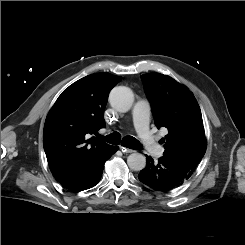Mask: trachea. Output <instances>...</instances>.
I'll use <instances>...</instances> for the list:
<instances>
[{
    "mask_svg": "<svg viewBox=\"0 0 245 245\" xmlns=\"http://www.w3.org/2000/svg\"><path fill=\"white\" fill-rule=\"evenodd\" d=\"M103 140L113 145H119L121 142L120 134L118 132H114L112 134L105 136ZM121 144L127 148L135 149V150L142 148L139 141L132 136L124 137L122 139Z\"/></svg>",
    "mask_w": 245,
    "mask_h": 245,
    "instance_id": "3493384b",
    "label": "trachea"
}]
</instances>
